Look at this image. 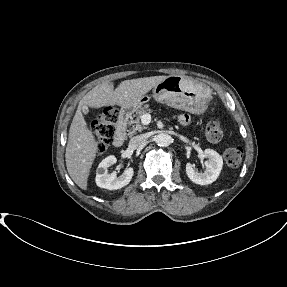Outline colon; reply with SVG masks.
<instances>
[{
    "instance_id": "5ec220e1",
    "label": "colon",
    "mask_w": 287,
    "mask_h": 287,
    "mask_svg": "<svg viewBox=\"0 0 287 287\" xmlns=\"http://www.w3.org/2000/svg\"><path fill=\"white\" fill-rule=\"evenodd\" d=\"M118 120V112L112 107L105 108L93 123V131L96 137V145L99 153L105 151L112 143L115 135V125ZM205 133L211 142H219L224 136V131L219 120H211L207 123ZM225 161L229 166H238L243 158V150L240 147H231L225 151Z\"/></svg>"
}]
</instances>
